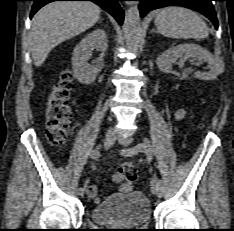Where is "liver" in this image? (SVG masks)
<instances>
[{"instance_id":"liver-1","label":"liver","mask_w":234,"mask_h":231,"mask_svg":"<svg viewBox=\"0 0 234 231\" xmlns=\"http://www.w3.org/2000/svg\"><path fill=\"white\" fill-rule=\"evenodd\" d=\"M100 8L92 2H52L41 8L32 19L30 47L36 67L50 51L89 28L100 18Z\"/></svg>"}]
</instances>
